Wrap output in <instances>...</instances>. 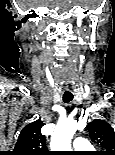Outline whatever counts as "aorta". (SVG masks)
Returning <instances> with one entry per match:
<instances>
[{"label":"aorta","mask_w":115,"mask_h":155,"mask_svg":"<svg viewBox=\"0 0 115 155\" xmlns=\"http://www.w3.org/2000/svg\"><path fill=\"white\" fill-rule=\"evenodd\" d=\"M77 130V122L66 119L57 124L51 137L50 148L52 151H70L71 139Z\"/></svg>","instance_id":"1"}]
</instances>
